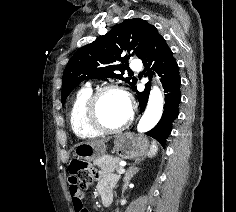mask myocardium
Listing matches in <instances>:
<instances>
[{"mask_svg":"<svg viewBox=\"0 0 236 212\" xmlns=\"http://www.w3.org/2000/svg\"><path fill=\"white\" fill-rule=\"evenodd\" d=\"M110 91H117L121 93L126 98L129 106V112L126 120L116 128H108L105 125H103L99 118V112H98L99 101L101 97L105 93ZM134 111H135L134 103L132 101L130 94L126 91V89L118 84H107L93 91L86 107V120L89 126L94 130L98 131L100 134H117L126 130L131 125L134 119Z\"/></svg>","mask_w":236,"mask_h":212,"instance_id":"1","label":"myocardium"}]
</instances>
